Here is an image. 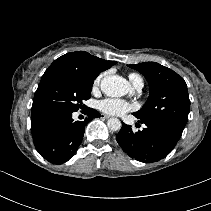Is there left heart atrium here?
<instances>
[{"instance_id":"obj_1","label":"left heart atrium","mask_w":211,"mask_h":211,"mask_svg":"<svg viewBox=\"0 0 211 211\" xmlns=\"http://www.w3.org/2000/svg\"><path fill=\"white\" fill-rule=\"evenodd\" d=\"M98 108L105 113L111 115H122L134 107L130 103L116 98H107L98 103Z\"/></svg>"}]
</instances>
